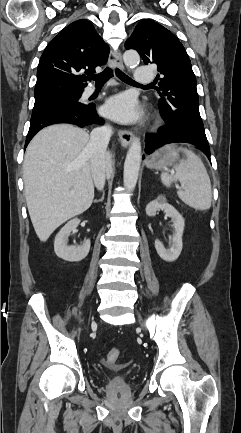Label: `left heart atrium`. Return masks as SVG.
Returning <instances> with one entry per match:
<instances>
[{"label":"left heart atrium","instance_id":"obj_1","mask_svg":"<svg viewBox=\"0 0 241 433\" xmlns=\"http://www.w3.org/2000/svg\"><path fill=\"white\" fill-rule=\"evenodd\" d=\"M105 113L114 120L131 122L138 117L134 98L128 94H120L110 98L105 106Z\"/></svg>","mask_w":241,"mask_h":433}]
</instances>
